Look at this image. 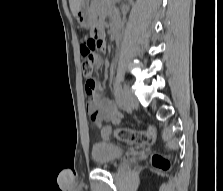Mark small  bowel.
<instances>
[{
  "instance_id": "small-bowel-1",
  "label": "small bowel",
  "mask_w": 223,
  "mask_h": 191,
  "mask_svg": "<svg viewBox=\"0 0 223 191\" xmlns=\"http://www.w3.org/2000/svg\"><path fill=\"white\" fill-rule=\"evenodd\" d=\"M116 27L120 28L119 25ZM93 35L98 37L101 42L104 37V30L101 23H98L93 29ZM100 60L97 61V66H100ZM94 88L88 82L85 83V93L88 96L86 110L90 114L95 125L100 126L103 121H108L113 124H118L121 121L122 114L118 109L117 104L100 94V84L92 80Z\"/></svg>"
}]
</instances>
